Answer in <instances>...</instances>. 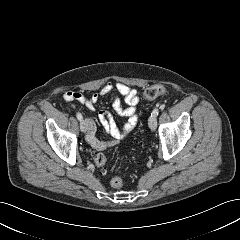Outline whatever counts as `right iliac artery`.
I'll return each instance as SVG.
<instances>
[{
	"instance_id": "82829eb1",
	"label": "right iliac artery",
	"mask_w": 240,
	"mask_h": 240,
	"mask_svg": "<svg viewBox=\"0 0 240 240\" xmlns=\"http://www.w3.org/2000/svg\"><path fill=\"white\" fill-rule=\"evenodd\" d=\"M76 117H77V119L80 120V121L83 119L81 113H77V114H76Z\"/></svg>"
}]
</instances>
